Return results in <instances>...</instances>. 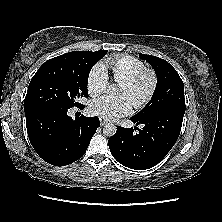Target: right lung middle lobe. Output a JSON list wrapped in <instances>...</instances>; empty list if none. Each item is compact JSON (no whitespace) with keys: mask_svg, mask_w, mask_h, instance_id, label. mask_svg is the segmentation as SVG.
<instances>
[{"mask_svg":"<svg viewBox=\"0 0 222 222\" xmlns=\"http://www.w3.org/2000/svg\"><path fill=\"white\" fill-rule=\"evenodd\" d=\"M107 51H75L46 61L30 81L24 100L25 113L44 107H80L78 99L88 97L91 68Z\"/></svg>","mask_w":222,"mask_h":222,"instance_id":"right-lung-middle-lobe-1","label":"right lung middle lobe"}]
</instances>
